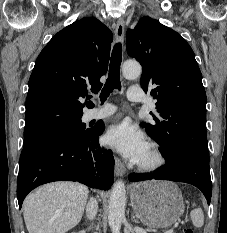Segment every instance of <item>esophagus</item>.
<instances>
[{"mask_svg": "<svg viewBox=\"0 0 227 233\" xmlns=\"http://www.w3.org/2000/svg\"><path fill=\"white\" fill-rule=\"evenodd\" d=\"M124 31H125V23L122 18H119L116 23L115 28V37L118 42H123L124 39ZM126 172V168L124 164L121 162L119 158L115 159V174L116 176H123Z\"/></svg>", "mask_w": 227, "mask_h": 233, "instance_id": "obj_1", "label": "esophagus"}]
</instances>
